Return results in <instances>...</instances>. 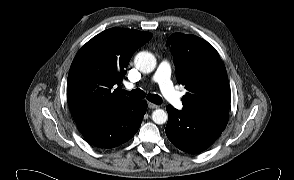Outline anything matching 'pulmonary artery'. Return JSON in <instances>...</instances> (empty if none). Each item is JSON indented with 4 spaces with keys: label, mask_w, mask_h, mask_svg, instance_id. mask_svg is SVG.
Returning <instances> with one entry per match:
<instances>
[{
    "label": "pulmonary artery",
    "mask_w": 294,
    "mask_h": 180,
    "mask_svg": "<svg viewBox=\"0 0 294 180\" xmlns=\"http://www.w3.org/2000/svg\"><path fill=\"white\" fill-rule=\"evenodd\" d=\"M171 67L167 61H162L158 65L153 80L158 83L161 92L168 99V101L178 110L183 108V101L180 95L175 91L173 83L170 79ZM133 84H127L128 90L133 89Z\"/></svg>",
    "instance_id": "obj_1"
}]
</instances>
